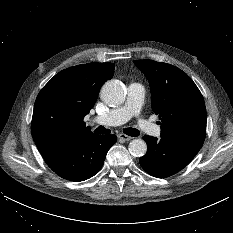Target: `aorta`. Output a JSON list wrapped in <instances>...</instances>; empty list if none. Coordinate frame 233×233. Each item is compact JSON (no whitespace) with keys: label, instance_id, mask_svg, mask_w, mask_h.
Returning <instances> with one entry per match:
<instances>
[{"label":"aorta","instance_id":"obj_1","mask_svg":"<svg viewBox=\"0 0 233 233\" xmlns=\"http://www.w3.org/2000/svg\"><path fill=\"white\" fill-rule=\"evenodd\" d=\"M102 100L110 106H118L124 103L126 98L125 88L118 80L107 81L101 89ZM147 151V145L142 139H134L129 144V152L136 157L143 156Z\"/></svg>","mask_w":233,"mask_h":233}]
</instances>
